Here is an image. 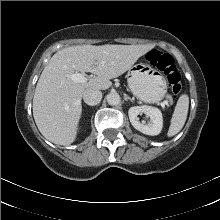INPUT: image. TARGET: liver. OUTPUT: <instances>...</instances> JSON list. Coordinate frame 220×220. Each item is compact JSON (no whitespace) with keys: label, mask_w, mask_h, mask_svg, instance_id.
<instances>
[{"label":"liver","mask_w":220,"mask_h":220,"mask_svg":"<svg viewBox=\"0 0 220 220\" xmlns=\"http://www.w3.org/2000/svg\"><path fill=\"white\" fill-rule=\"evenodd\" d=\"M153 45H77L56 52L42 71L33 98V116L41 134L59 145L72 144L82 113L86 89L106 90ZM91 72L88 82H74L66 75Z\"/></svg>","instance_id":"1"}]
</instances>
